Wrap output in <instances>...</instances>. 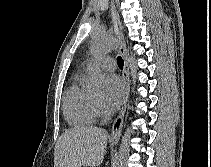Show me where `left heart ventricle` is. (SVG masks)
<instances>
[{
	"label": "left heart ventricle",
	"mask_w": 211,
	"mask_h": 167,
	"mask_svg": "<svg viewBox=\"0 0 211 167\" xmlns=\"http://www.w3.org/2000/svg\"><path fill=\"white\" fill-rule=\"evenodd\" d=\"M93 97L96 99V101L100 104L101 103V101H102V93H95L94 95H93Z\"/></svg>",
	"instance_id": "obj_1"
}]
</instances>
